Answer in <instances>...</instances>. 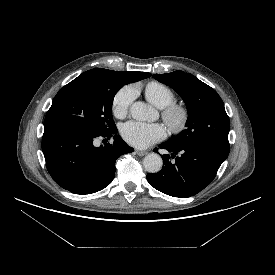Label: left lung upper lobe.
Masks as SVG:
<instances>
[{"label":"left lung upper lobe","instance_id":"left-lung-upper-lobe-1","mask_svg":"<svg viewBox=\"0 0 275 275\" xmlns=\"http://www.w3.org/2000/svg\"><path fill=\"white\" fill-rule=\"evenodd\" d=\"M153 77L172 87L182 97L188 110L186 129L167 143L201 146L228 154L230 122L218 93L183 71L154 74Z\"/></svg>","mask_w":275,"mask_h":275}]
</instances>
